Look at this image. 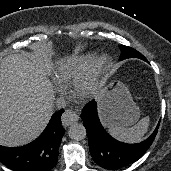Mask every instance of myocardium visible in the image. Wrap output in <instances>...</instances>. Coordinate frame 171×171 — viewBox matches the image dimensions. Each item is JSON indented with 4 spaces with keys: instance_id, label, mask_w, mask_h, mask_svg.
<instances>
[{
    "instance_id": "f54148a6",
    "label": "myocardium",
    "mask_w": 171,
    "mask_h": 171,
    "mask_svg": "<svg viewBox=\"0 0 171 171\" xmlns=\"http://www.w3.org/2000/svg\"><path fill=\"white\" fill-rule=\"evenodd\" d=\"M111 58L102 54L94 59L89 69L73 83L72 95L79 103H87L98 97L101 76L110 67Z\"/></svg>"
}]
</instances>
